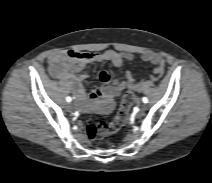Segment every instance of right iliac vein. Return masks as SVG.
Here are the masks:
<instances>
[{
  "instance_id": "obj_1",
  "label": "right iliac vein",
  "mask_w": 212,
  "mask_h": 183,
  "mask_svg": "<svg viewBox=\"0 0 212 183\" xmlns=\"http://www.w3.org/2000/svg\"><path fill=\"white\" fill-rule=\"evenodd\" d=\"M65 108H66V110L69 111V112L72 111V109H73L72 103H67L66 106H65Z\"/></svg>"
}]
</instances>
